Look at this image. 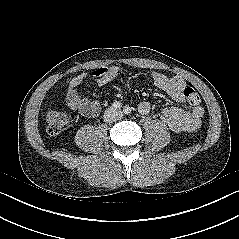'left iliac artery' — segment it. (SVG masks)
Returning <instances> with one entry per match:
<instances>
[{
  "label": "left iliac artery",
  "mask_w": 239,
  "mask_h": 239,
  "mask_svg": "<svg viewBox=\"0 0 239 239\" xmlns=\"http://www.w3.org/2000/svg\"><path fill=\"white\" fill-rule=\"evenodd\" d=\"M124 114L129 115L131 113V108L130 107H125L123 109Z\"/></svg>",
  "instance_id": "left-iliac-artery-1"
}]
</instances>
